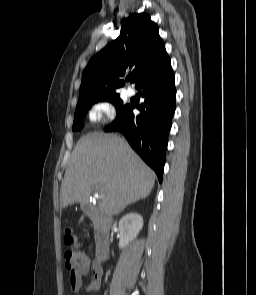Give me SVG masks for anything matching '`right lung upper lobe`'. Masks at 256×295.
I'll return each mask as SVG.
<instances>
[{
    "label": "right lung upper lobe",
    "mask_w": 256,
    "mask_h": 295,
    "mask_svg": "<svg viewBox=\"0 0 256 295\" xmlns=\"http://www.w3.org/2000/svg\"><path fill=\"white\" fill-rule=\"evenodd\" d=\"M169 58L158 26L145 13L132 14L123 21L120 36L97 53L84 69L79 99L119 95L121 77L132 73L137 83L149 71Z\"/></svg>",
    "instance_id": "1"
}]
</instances>
